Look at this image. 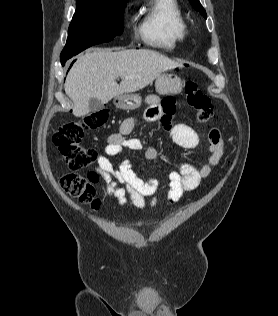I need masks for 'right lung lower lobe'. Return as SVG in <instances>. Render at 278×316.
<instances>
[{
    "label": "right lung lower lobe",
    "mask_w": 278,
    "mask_h": 316,
    "mask_svg": "<svg viewBox=\"0 0 278 316\" xmlns=\"http://www.w3.org/2000/svg\"><path fill=\"white\" fill-rule=\"evenodd\" d=\"M65 62H66V61H61V64L64 66Z\"/></svg>",
    "instance_id": "right-lung-lower-lobe-1"
}]
</instances>
